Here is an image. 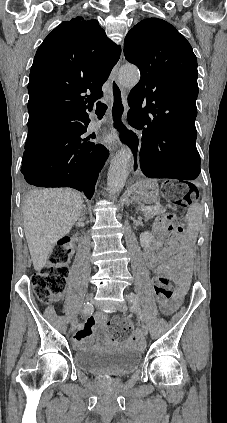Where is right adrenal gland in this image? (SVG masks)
<instances>
[{"label":"right adrenal gland","instance_id":"2a0ac1e0","mask_svg":"<svg viewBox=\"0 0 227 423\" xmlns=\"http://www.w3.org/2000/svg\"><path fill=\"white\" fill-rule=\"evenodd\" d=\"M83 211H84V213H87L85 204H83Z\"/></svg>","mask_w":227,"mask_h":423}]
</instances>
